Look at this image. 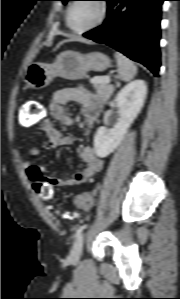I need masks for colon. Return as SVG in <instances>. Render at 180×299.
<instances>
[{"label": "colon", "mask_w": 180, "mask_h": 299, "mask_svg": "<svg viewBox=\"0 0 180 299\" xmlns=\"http://www.w3.org/2000/svg\"><path fill=\"white\" fill-rule=\"evenodd\" d=\"M93 1V0H89ZM47 116V111L42 104L28 103L23 112L22 121L27 124H34L43 121ZM33 189L36 194L43 200H50L53 198V184L50 182H35ZM76 206L80 209H87L90 206L91 200L89 195H80L76 201Z\"/></svg>", "instance_id": "obj_1"}]
</instances>
